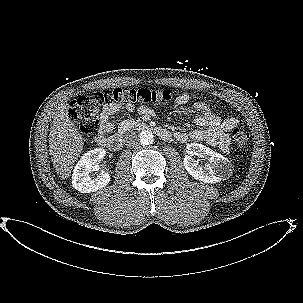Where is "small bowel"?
Segmentation results:
<instances>
[{"label":"small bowel","mask_w":303,"mask_h":303,"mask_svg":"<svg viewBox=\"0 0 303 303\" xmlns=\"http://www.w3.org/2000/svg\"><path fill=\"white\" fill-rule=\"evenodd\" d=\"M188 99V94L182 93L177 95L175 100L179 104H184ZM193 108L199 113V116L196 118V124L200 128L192 131L191 133L178 131L174 135L176 140L179 142H186L189 139L205 141L211 145L219 146L222 151H228V132L239 124L238 119L236 117H228L221 120V118L211 110L209 105L204 102H195L193 104ZM133 110L134 106L129 104H111L105 106L99 116V132L97 140L101 137H105L114 129V125L110 120L112 116L116 115L120 111L129 113ZM137 111L142 115L152 114V110L146 105L139 106Z\"/></svg>","instance_id":"obj_1"}]
</instances>
